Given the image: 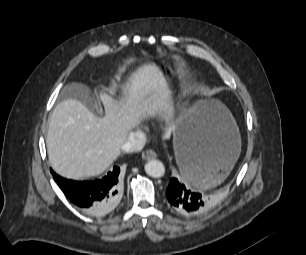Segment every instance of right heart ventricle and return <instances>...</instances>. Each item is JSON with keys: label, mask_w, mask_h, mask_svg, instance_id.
Here are the masks:
<instances>
[{"label": "right heart ventricle", "mask_w": 306, "mask_h": 255, "mask_svg": "<svg viewBox=\"0 0 306 255\" xmlns=\"http://www.w3.org/2000/svg\"><path fill=\"white\" fill-rule=\"evenodd\" d=\"M164 81V78H161L159 81H158V84L163 82Z\"/></svg>", "instance_id": "1"}]
</instances>
